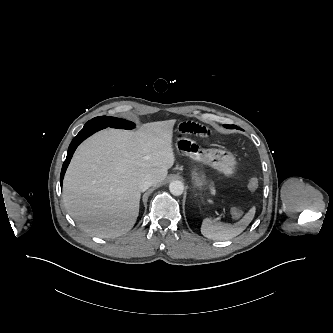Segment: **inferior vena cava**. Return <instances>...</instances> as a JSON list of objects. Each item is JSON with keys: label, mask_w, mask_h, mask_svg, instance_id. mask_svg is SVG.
<instances>
[{"label": "inferior vena cava", "mask_w": 333, "mask_h": 333, "mask_svg": "<svg viewBox=\"0 0 333 333\" xmlns=\"http://www.w3.org/2000/svg\"><path fill=\"white\" fill-rule=\"evenodd\" d=\"M152 185H153V180L151 178H144L139 182V190L144 192Z\"/></svg>", "instance_id": "1"}]
</instances>
